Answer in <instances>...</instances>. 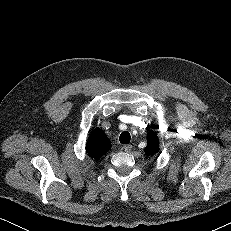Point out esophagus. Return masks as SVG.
<instances>
[{
  "instance_id": "obj_1",
  "label": "esophagus",
  "mask_w": 231,
  "mask_h": 231,
  "mask_svg": "<svg viewBox=\"0 0 231 231\" xmlns=\"http://www.w3.org/2000/svg\"><path fill=\"white\" fill-rule=\"evenodd\" d=\"M123 149H124L125 152L129 153V152L132 151V145H125V146L123 147Z\"/></svg>"
}]
</instances>
